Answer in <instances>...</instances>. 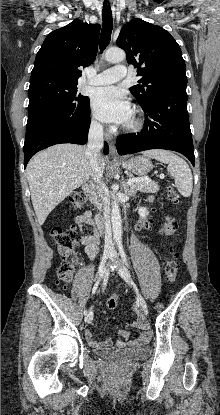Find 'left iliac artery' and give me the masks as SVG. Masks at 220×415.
<instances>
[{
    "instance_id": "obj_1",
    "label": "left iliac artery",
    "mask_w": 220,
    "mask_h": 415,
    "mask_svg": "<svg viewBox=\"0 0 220 415\" xmlns=\"http://www.w3.org/2000/svg\"><path fill=\"white\" fill-rule=\"evenodd\" d=\"M118 248H119V253H120L122 259L124 260L125 264L128 266L127 258H126V254L124 252L123 246L121 244H119Z\"/></svg>"
}]
</instances>
